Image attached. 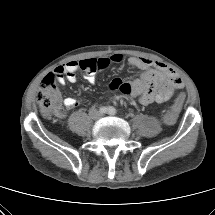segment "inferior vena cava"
Segmentation results:
<instances>
[{
  "mask_svg": "<svg viewBox=\"0 0 215 215\" xmlns=\"http://www.w3.org/2000/svg\"><path fill=\"white\" fill-rule=\"evenodd\" d=\"M90 115L92 118H98V117H100L101 114L96 109H91Z\"/></svg>",
  "mask_w": 215,
  "mask_h": 215,
  "instance_id": "1",
  "label": "inferior vena cava"
}]
</instances>
